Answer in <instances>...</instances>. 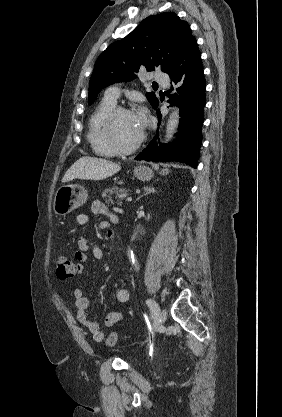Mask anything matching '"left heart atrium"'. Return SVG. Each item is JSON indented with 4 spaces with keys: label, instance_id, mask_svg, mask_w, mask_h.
Returning <instances> with one entry per match:
<instances>
[{
    "label": "left heart atrium",
    "instance_id": "39dd6f15",
    "mask_svg": "<svg viewBox=\"0 0 282 417\" xmlns=\"http://www.w3.org/2000/svg\"><path fill=\"white\" fill-rule=\"evenodd\" d=\"M137 119H138V121H139L140 125L142 126V125H143V123H144V118H143V116H137Z\"/></svg>",
    "mask_w": 282,
    "mask_h": 417
}]
</instances>
